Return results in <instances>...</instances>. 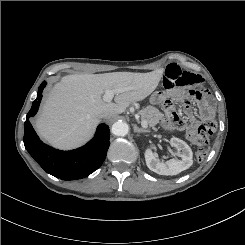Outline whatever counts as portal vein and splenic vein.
I'll return each instance as SVG.
<instances>
[{"instance_id": "portal-vein-and-splenic-vein-1", "label": "portal vein and splenic vein", "mask_w": 245, "mask_h": 245, "mask_svg": "<svg viewBox=\"0 0 245 245\" xmlns=\"http://www.w3.org/2000/svg\"><path fill=\"white\" fill-rule=\"evenodd\" d=\"M125 90L126 89H122V88L121 89H116V90H110V89H108V90L105 91V94L103 96V100L105 102H111L115 94L122 93ZM136 118H137V120H139V117L138 116H136ZM141 126L143 128H147V126H148L147 125V122L146 121H141Z\"/></svg>"}]
</instances>
